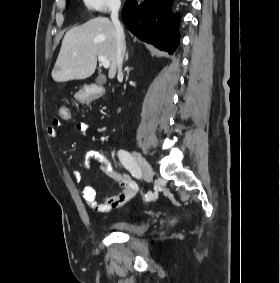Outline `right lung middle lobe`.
<instances>
[{
    "mask_svg": "<svg viewBox=\"0 0 280 283\" xmlns=\"http://www.w3.org/2000/svg\"><path fill=\"white\" fill-rule=\"evenodd\" d=\"M68 5H69V0L66 1V6L68 7Z\"/></svg>",
    "mask_w": 280,
    "mask_h": 283,
    "instance_id": "right-lung-middle-lobe-1",
    "label": "right lung middle lobe"
}]
</instances>
